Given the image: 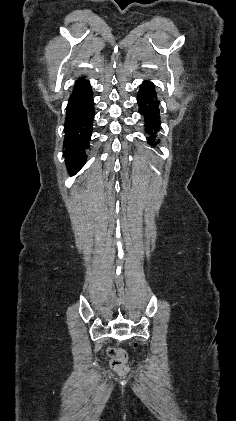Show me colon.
Segmentation results:
<instances>
[{
    "label": "colon",
    "instance_id": "colon-1",
    "mask_svg": "<svg viewBox=\"0 0 236 421\" xmlns=\"http://www.w3.org/2000/svg\"><path fill=\"white\" fill-rule=\"evenodd\" d=\"M107 353L111 357V367L115 372L119 374H125L128 372V367L126 365L127 354L123 350L109 348Z\"/></svg>",
    "mask_w": 236,
    "mask_h": 421
}]
</instances>
